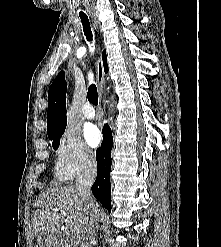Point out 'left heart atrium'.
<instances>
[{
	"label": "left heart atrium",
	"mask_w": 221,
	"mask_h": 247,
	"mask_svg": "<svg viewBox=\"0 0 221 247\" xmlns=\"http://www.w3.org/2000/svg\"><path fill=\"white\" fill-rule=\"evenodd\" d=\"M84 136L86 141L91 146H97L101 141V133L99 129L94 125H87L84 130Z\"/></svg>",
	"instance_id": "obj_1"
}]
</instances>
